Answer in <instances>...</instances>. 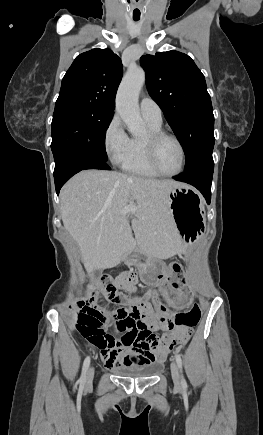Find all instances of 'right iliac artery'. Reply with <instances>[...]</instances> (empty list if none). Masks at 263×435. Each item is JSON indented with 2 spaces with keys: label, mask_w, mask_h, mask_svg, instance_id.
<instances>
[{
  "label": "right iliac artery",
  "mask_w": 263,
  "mask_h": 435,
  "mask_svg": "<svg viewBox=\"0 0 263 435\" xmlns=\"http://www.w3.org/2000/svg\"><path fill=\"white\" fill-rule=\"evenodd\" d=\"M90 365V357H86V359L84 360L83 363V368H82V374L80 377V384L81 386H84L85 382H86V375H87V371Z\"/></svg>",
  "instance_id": "right-iliac-artery-1"
}]
</instances>
